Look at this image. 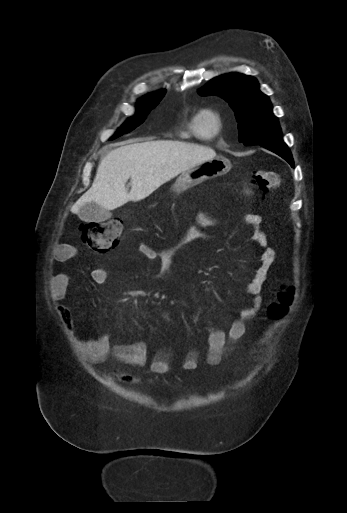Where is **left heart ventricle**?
Here are the masks:
<instances>
[{
  "label": "left heart ventricle",
  "instance_id": "1",
  "mask_svg": "<svg viewBox=\"0 0 347 513\" xmlns=\"http://www.w3.org/2000/svg\"><path fill=\"white\" fill-rule=\"evenodd\" d=\"M203 125L206 130L211 129L213 127V123L210 120H205Z\"/></svg>",
  "mask_w": 347,
  "mask_h": 513
}]
</instances>
